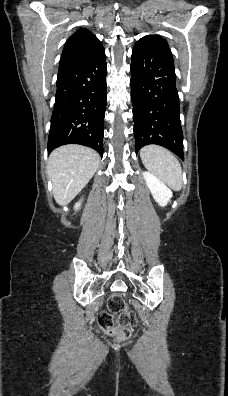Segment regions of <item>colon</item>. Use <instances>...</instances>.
Returning a JSON list of instances; mask_svg holds the SVG:
<instances>
[{"instance_id":"1","label":"colon","mask_w":228,"mask_h":396,"mask_svg":"<svg viewBox=\"0 0 228 396\" xmlns=\"http://www.w3.org/2000/svg\"><path fill=\"white\" fill-rule=\"evenodd\" d=\"M116 313H119L117 317L114 316ZM137 322L135 313L126 310L125 299L120 293H113L110 296L108 311L101 312L98 317L99 326L119 341H124L131 337Z\"/></svg>"}]
</instances>
